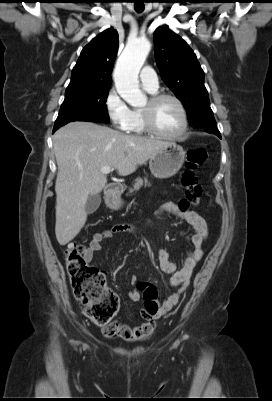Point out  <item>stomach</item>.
Instances as JSON below:
<instances>
[{
	"label": "stomach",
	"instance_id": "1",
	"mask_svg": "<svg viewBox=\"0 0 272 401\" xmlns=\"http://www.w3.org/2000/svg\"><path fill=\"white\" fill-rule=\"evenodd\" d=\"M186 152L176 143H169L160 148L149 161V167L154 177L166 179L174 176L182 167ZM106 204L117 210L123 205L120 197H109Z\"/></svg>",
	"mask_w": 272,
	"mask_h": 401
}]
</instances>
